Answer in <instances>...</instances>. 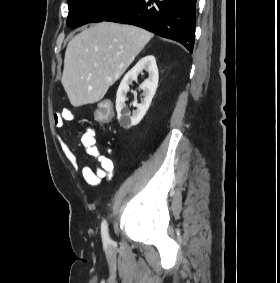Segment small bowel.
Listing matches in <instances>:
<instances>
[{"instance_id": "c3829d8e", "label": "small bowel", "mask_w": 280, "mask_h": 283, "mask_svg": "<svg viewBox=\"0 0 280 283\" xmlns=\"http://www.w3.org/2000/svg\"><path fill=\"white\" fill-rule=\"evenodd\" d=\"M74 113L69 109H63L60 112L54 114V124L56 127H62L65 122L72 121L74 119ZM62 153L68 163L75 171L81 172V175L85 182L93 187L100 184L101 180L109 177L114 169L113 160L107 157L99 151L96 146L95 132H83L80 135V141L85 148L88 155L98 159L99 167L95 170L89 166H80L76 153L68 146V144L61 138H58Z\"/></svg>"}]
</instances>
